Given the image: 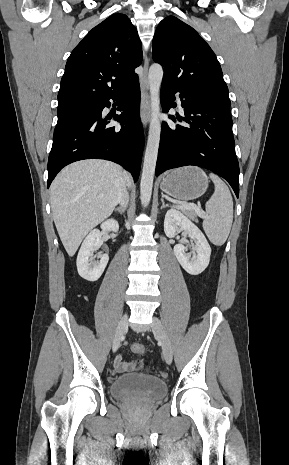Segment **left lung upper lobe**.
<instances>
[{"instance_id": "obj_1", "label": "left lung upper lobe", "mask_w": 289, "mask_h": 465, "mask_svg": "<svg viewBox=\"0 0 289 465\" xmlns=\"http://www.w3.org/2000/svg\"><path fill=\"white\" fill-rule=\"evenodd\" d=\"M152 48L154 61L164 67L162 84L231 105L215 54L192 27L166 17L156 29Z\"/></svg>"}]
</instances>
